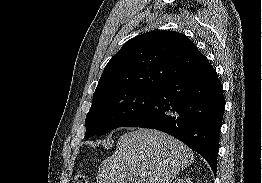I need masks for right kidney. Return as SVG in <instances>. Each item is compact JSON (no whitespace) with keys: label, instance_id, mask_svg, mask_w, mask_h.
I'll list each match as a JSON object with an SVG mask.
<instances>
[{"label":"right kidney","instance_id":"right-kidney-1","mask_svg":"<svg viewBox=\"0 0 262 183\" xmlns=\"http://www.w3.org/2000/svg\"><path fill=\"white\" fill-rule=\"evenodd\" d=\"M173 183H191V182L189 178H185V179L182 178L181 180L177 178Z\"/></svg>","mask_w":262,"mask_h":183}]
</instances>
